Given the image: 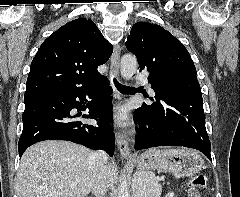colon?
Segmentation results:
<instances>
[{
    "mask_svg": "<svg viewBox=\"0 0 240 197\" xmlns=\"http://www.w3.org/2000/svg\"><path fill=\"white\" fill-rule=\"evenodd\" d=\"M190 189L203 188L206 185V177L202 173H195L188 177L187 179Z\"/></svg>",
    "mask_w": 240,
    "mask_h": 197,
    "instance_id": "5ec220e1",
    "label": "colon"
}]
</instances>
